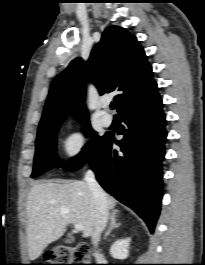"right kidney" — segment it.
Instances as JSON below:
<instances>
[{"mask_svg":"<svg viewBox=\"0 0 205 265\" xmlns=\"http://www.w3.org/2000/svg\"><path fill=\"white\" fill-rule=\"evenodd\" d=\"M130 241V238L116 240L110 248L111 256L116 259H126L129 254Z\"/></svg>","mask_w":205,"mask_h":265,"instance_id":"1","label":"right kidney"}]
</instances>
